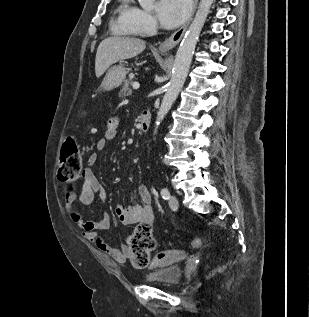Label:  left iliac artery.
I'll return each mask as SVG.
<instances>
[{"label": "left iliac artery", "instance_id": "obj_1", "mask_svg": "<svg viewBox=\"0 0 309 317\" xmlns=\"http://www.w3.org/2000/svg\"><path fill=\"white\" fill-rule=\"evenodd\" d=\"M160 193H161V196L163 199H165V200L169 199L170 192L167 188H162Z\"/></svg>", "mask_w": 309, "mask_h": 317}]
</instances>
